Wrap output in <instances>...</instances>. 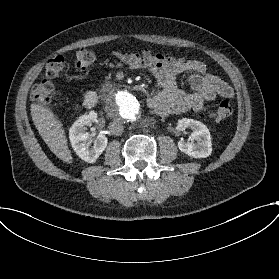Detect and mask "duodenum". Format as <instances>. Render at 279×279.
I'll list each match as a JSON object with an SVG mask.
<instances>
[{
	"instance_id": "obj_1",
	"label": "duodenum",
	"mask_w": 279,
	"mask_h": 279,
	"mask_svg": "<svg viewBox=\"0 0 279 279\" xmlns=\"http://www.w3.org/2000/svg\"><path fill=\"white\" fill-rule=\"evenodd\" d=\"M116 88H117V86H116L115 83L107 82L102 86L101 92L103 94H109V93L113 92L114 90H116ZM98 99H99L98 92H96V91L87 92L85 97H84L85 108L93 109L97 105Z\"/></svg>"
}]
</instances>
